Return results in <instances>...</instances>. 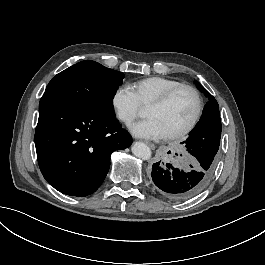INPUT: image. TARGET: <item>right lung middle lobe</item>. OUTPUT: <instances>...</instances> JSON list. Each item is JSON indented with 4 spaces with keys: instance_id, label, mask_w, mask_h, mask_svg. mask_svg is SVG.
I'll list each match as a JSON object with an SVG mask.
<instances>
[{
    "instance_id": "dd1d6c3e",
    "label": "right lung middle lobe",
    "mask_w": 265,
    "mask_h": 265,
    "mask_svg": "<svg viewBox=\"0 0 265 265\" xmlns=\"http://www.w3.org/2000/svg\"><path fill=\"white\" fill-rule=\"evenodd\" d=\"M124 74L86 60L57 74L40 100L57 101L92 113L114 117L112 99Z\"/></svg>"
}]
</instances>
